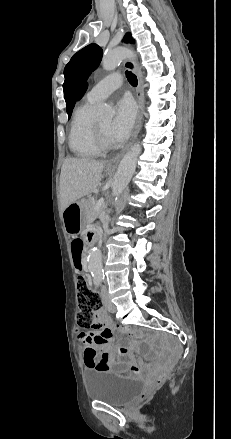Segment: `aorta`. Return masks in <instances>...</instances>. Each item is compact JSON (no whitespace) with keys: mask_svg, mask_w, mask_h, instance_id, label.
Segmentation results:
<instances>
[{"mask_svg":"<svg viewBox=\"0 0 231 439\" xmlns=\"http://www.w3.org/2000/svg\"><path fill=\"white\" fill-rule=\"evenodd\" d=\"M133 56L132 52L125 48H117L109 51L102 59V66L106 71L114 70L125 58ZM101 119H111L114 109L102 104L98 110ZM141 152L139 143L134 144L125 154L119 163L115 178L112 184V194L118 197L130 182L137 164L138 156ZM88 268L95 278L102 277V253L98 248H93L88 256Z\"/></svg>","mask_w":231,"mask_h":439,"instance_id":"aorta-1","label":"aorta"}]
</instances>
